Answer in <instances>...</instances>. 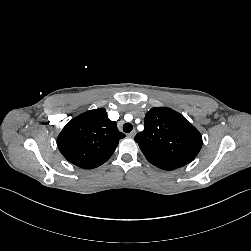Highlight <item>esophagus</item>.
Returning <instances> with one entry per match:
<instances>
[{"label": "esophagus", "mask_w": 251, "mask_h": 251, "mask_svg": "<svg viewBox=\"0 0 251 251\" xmlns=\"http://www.w3.org/2000/svg\"><path fill=\"white\" fill-rule=\"evenodd\" d=\"M135 135H136V130H132V131L128 134V136L131 137V138H133Z\"/></svg>", "instance_id": "esophagus-1"}]
</instances>
